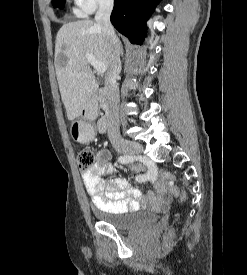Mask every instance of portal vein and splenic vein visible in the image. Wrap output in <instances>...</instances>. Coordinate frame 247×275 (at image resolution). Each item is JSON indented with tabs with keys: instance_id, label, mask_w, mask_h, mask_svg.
Returning a JSON list of instances; mask_svg holds the SVG:
<instances>
[{
	"instance_id": "portal-vein-and-splenic-vein-1",
	"label": "portal vein and splenic vein",
	"mask_w": 247,
	"mask_h": 275,
	"mask_svg": "<svg viewBox=\"0 0 247 275\" xmlns=\"http://www.w3.org/2000/svg\"><path fill=\"white\" fill-rule=\"evenodd\" d=\"M88 63L95 69L98 74H104L106 66L103 62L98 61L92 54L86 53L85 55Z\"/></svg>"
}]
</instances>
